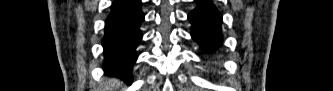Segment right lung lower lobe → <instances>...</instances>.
Wrapping results in <instances>:
<instances>
[{
    "label": "right lung lower lobe",
    "mask_w": 333,
    "mask_h": 91,
    "mask_svg": "<svg viewBox=\"0 0 333 91\" xmlns=\"http://www.w3.org/2000/svg\"><path fill=\"white\" fill-rule=\"evenodd\" d=\"M144 14L140 0H116L105 22L102 40L104 71L131 81V69L137 60L136 47L141 41L139 30Z\"/></svg>",
    "instance_id": "1"
}]
</instances>
